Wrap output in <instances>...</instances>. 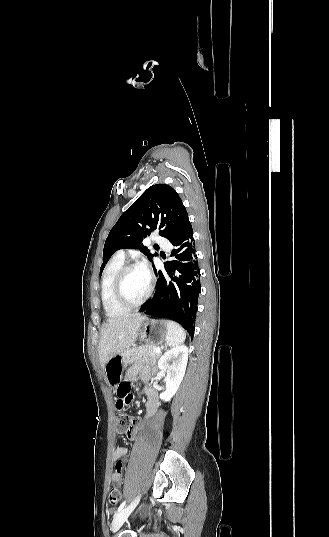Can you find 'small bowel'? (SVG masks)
Instances as JSON below:
<instances>
[{"label":"small bowel","mask_w":329,"mask_h":537,"mask_svg":"<svg viewBox=\"0 0 329 537\" xmlns=\"http://www.w3.org/2000/svg\"><path fill=\"white\" fill-rule=\"evenodd\" d=\"M134 373L129 372L128 377H123L118 383V388L116 390V401L115 408L118 411H123L126 406H130L134 402L135 392L131 389L132 379ZM147 395V413L146 417L152 416L158 407V394L157 392L150 387L145 389ZM137 423L135 422L130 430L127 432V438L130 440L135 439L137 434ZM127 454V449L125 447H117L113 454V459L115 461V468L111 475V481L117 486H121L123 483L122 474L124 469L125 460L124 457Z\"/></svg>","instance_id":"small-bowel-1"}]
</instances>
